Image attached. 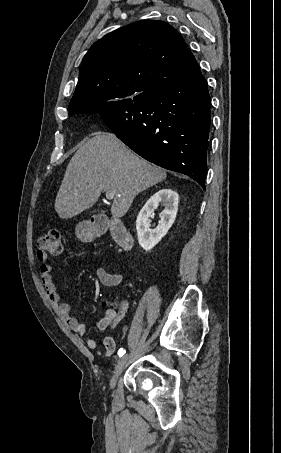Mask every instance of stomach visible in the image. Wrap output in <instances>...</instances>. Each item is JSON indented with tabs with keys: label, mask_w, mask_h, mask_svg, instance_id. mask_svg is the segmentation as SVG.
<instances>
[{
	"label": "stomach",
	"mask_w": 281,
	"mask_h": 453,
	"mask_svg": "<svg viewBox=\"0 0 281 453\" xmlns=\"http://www.w3.org/2000/svg\"><path fill=\"white\" fill-rule=\"evenodd\" d=\"M76 235L78 239H83L84 235H86V237H92L93 233L92 229H83L82 224H78Z\"/></svg>",
	"instance_id": "0dacf381"
}]
</instances>
